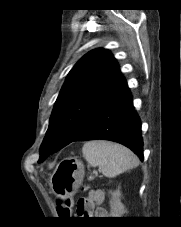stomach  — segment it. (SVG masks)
Returning <instances> with one entry per match:
<instances>
[{
    "label": "stomach",
    "instance_id": "stomach-1",
    "mask_svg": "<svg viewBox=\"0 0 181 227\" xmlns=\"http://www.w3.org/2000/svg\"><path fill=\"white\" fill-rule=\"evenodd\" d=\"M84 178V165L77 158L63 159L50 177V187L54 194L67 199L73 196Z\"/></svg>",
    "mask_w": 181,
    "mask_h": 227
}]
</instances>
